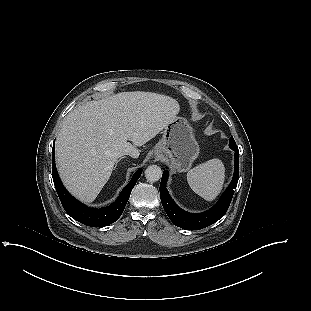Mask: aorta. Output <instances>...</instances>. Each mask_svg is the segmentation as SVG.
I'll list each match as a JSON object with an SVG mask.
<instances>
[{"instance_id": "aorta-1", "label": "aorta", "mask_w": 311, "mask_h": 311, "mask_svg": "<svg viewBox=\"0 0 311 311\" xmlns=\"http://www.w3.org/2000/svg\"><path fill=\"white\" fill-rule=\"evenodd\" d=\"M145 177L149 182H157L162 177V170L157 165H150L145 170Z\"/></svg>"}]
</instances>
